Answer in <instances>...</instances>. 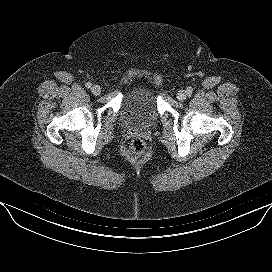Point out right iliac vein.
Returning <instances> with one entry per match:
<instances>
[{"instance_id":"1","label":"right iliac vein","mask_w":272,"mask_h":272,"mask_svg":"<svg viewBox=\"0 0 272 272\" xmlns=\"http://www.w3.org/2000/svg\"><path fill=\"white\" fill-rule=\"evenodd\" d=\"M91 92L94 94V95H99L100 93H101V88H100V86H98V85H93L92 87H91Z\"/></svg>"}]
</instances>
